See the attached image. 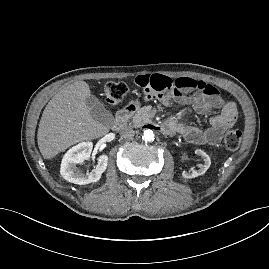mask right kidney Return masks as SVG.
<instances>
[{
    "label": "right kidney",
    "instance_id": "right-kidney-1",
    "mask_svg": "<svg viewBox=\"0 0 269 269\" xmlns=\"http://www.w3.org/2000/svg\"><path fill=\"white\" fill-rule=\"evenodd\" d=\"M93 149L92 142H82L69 149L64 155L61 163L60 174L68 182L85 185L100 180L102 173L106 170L108 156L101 155L98 157L96 167L87 174L77 170L76 165L90 158Z\"/></svg>",
    "mask_w": 269,
    "mask_h": 269
}]
</instances>
